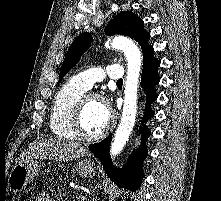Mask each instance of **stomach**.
<instances>
[{"instance_id":"obj_1","label":"stomach","mask_w":221,"mask_h":201,"mask_svg":"<svg viewBox=\"0 0 221 201\" xmlns=\"http://www.w3.org/2000/svg\"><path fill=\"white\" fill-rule=\"evenodd\" d=\"M41 165L33 159L19 161L11 170L8 178V186L13 192L21 191L36 176H38ZM76 171L80 176L92 177L96 173V167L90 160L84 159L77 163Z\"/></svg>"}]
</instances>
